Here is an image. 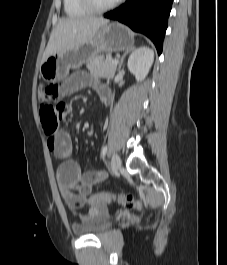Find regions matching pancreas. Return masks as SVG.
<instances>
[{"mask_svg": "<svg viewBox=\"0 0 227 265\" xmlns=\"http://www.w3.org/2000/svg\"><path fill=\"white\" fill-rule=\"evenodd\" d=\"M111 57L96 56L87 63V69L95 77L112 79L116 72V65Z\"/></svg>", "mask_w": 227, "mask_h": 265, "instance_id": "obj_1", "label": "pancreas"}]
</instances>
